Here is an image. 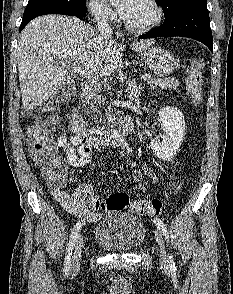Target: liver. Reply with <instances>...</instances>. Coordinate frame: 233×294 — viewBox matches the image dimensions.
Here are the masks:
<instances>
[{"label":"liver","instance_id":"liver-1","mask_svg":"<svg viewBox=\"0 0 233 294\" xmlns=\"http://www.w3.org/2000/svg\"><path fill=\"white\" fill-rule=\"evenodd\" d=\"M154 43L140 41L132 50L143 52ZM62 63L83 67L88 82L114 73L122 64L119 45L104 40L77 18L46 15L23 30L18 46L19 83L23 107L29 111L62 86L74 83Z\"/></svg>","mask_w":233,"mask_h":294}]
</instances>
